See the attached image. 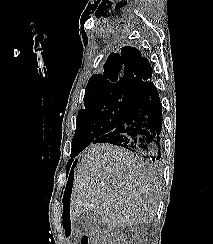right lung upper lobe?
I'll use <instances>...</instances> for the list:
<instances>
[{"label": "right lung upper lobe", "mask_w": 213, "mask_h": 244, "mask_svg": "<svg viewBox=\"0 0 213 244\" xmlns=\"http://www.w3.org/2000/svg\"><path fill=\"white\" fill-rule=\"evenodd\" d=\"M152 79V67L135 47L125 46L121 53H112L104 64V74L88 81L84 105L114 94L136 96Z\"/></svg>", "instance_id": "cb5924a9"}]
</instances>
